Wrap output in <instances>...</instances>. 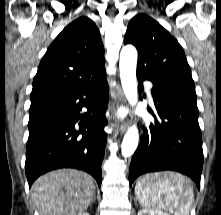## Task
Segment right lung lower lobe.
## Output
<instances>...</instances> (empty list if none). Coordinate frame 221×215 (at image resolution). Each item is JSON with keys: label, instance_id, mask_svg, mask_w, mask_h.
I'll list each match as a JSON object with an SVG mask.
<instances>
[{"label": "right lung lower lobe", "instance_id": "1", "mask_svg": "<svg viewBox=\"0 0 221 215\" xmlns=\"http://www.w3.org/2000/svg\"><path fill=\"white\" fill-rule=\"evenodd\" d=\"M108 91L105 74L77 92L29 111L25 162L29 187L40 175L67 167L90 173L101 185ZM82 107L88 110L84 115Z\"/></svg>", "mask_w": 221, "mask_h": 215}]
</instances>
